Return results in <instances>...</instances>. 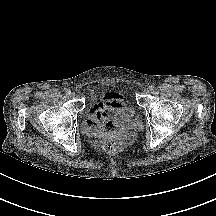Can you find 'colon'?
I'll use <instances>...</instances> for the list:
<instances>
[{"instance_id": "1", "label": "colon", "mask_w": 216, "mask_h": 216, "mask_svg": "<svg viewBox=\"0 0 216 216\" xmlns=\"http://www.w3.org/2000/svg\"><path fill=\"white\" fill-rule=\"evenodd\" d=\"M103 147L108 152H116L125 147V142L117 136H108L103 141Z\"/></svg>"}]
</instances>
